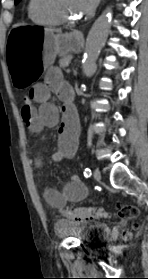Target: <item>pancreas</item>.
I'll return each instance as SVG.
<instances>
[{
	"mask_svg": "<svg viewBox=\"0 0 148 279\" xmlns=\"http://www.w3.org/2000/svg\"><path fill=\"white\" fill-rule=\"evenodd\" d=\"M70 60H71V57H70V56H64L63 58H61V59L59 60V65H60V67H63V68H64V67L68 66Z\"/></svg>",
	"mask_w": 148,
	"mask_h": 279,
	"instance_id": "obj_1",
	"label": "pancreas"
}]
</instances>
